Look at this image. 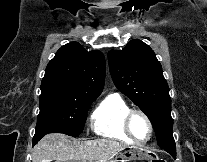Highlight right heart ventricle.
Returning a JSON list of instances; mask_svg holds the SVG:
<instances>
[{"label": "right heart ventricle", "instance_id": "right-heart-ventricle-1", "mask_svg": "<svg viewBox=\"0 0 207 162\" xmlns=\"http://www.w3.org/2000/svg\"><path fill=\"white\" fill-rule=\"evenodd\" d=\"M131 110L118 93H110L95 107L91 123L93 131L101 137L129 142L131 139L123 129V121Z\"/></svg>", "mask_w": 207, "mask_h": 162}]
</instances>
